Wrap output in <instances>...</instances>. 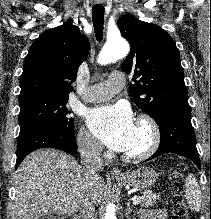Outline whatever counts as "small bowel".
<instances>
[{
  "instance_id": "1",
  "label": "small bowel",
  "mask_w": 211,
  "mask_h": 219,
  "mask_svg": "<svg viewBox=\"0 0 211 219\" xmlns=\"http://www.w3.org/2000/svg\"><path fill=\"white\" fill-rule=\"evenodd\" d=\"M139 219H168V215L163 209H155L143 212Z\"/></svg>"
}]
</instances>
